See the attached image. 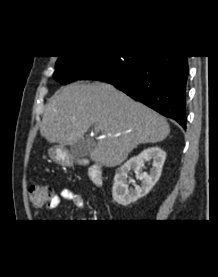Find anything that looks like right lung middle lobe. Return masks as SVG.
<instances>
[{"mask_svg":"<svg viewBox=\"0 0 218 277\" xmlns=\"http://www.w3.org/2000/svg\"><path fill=\"white\" fill-rule=\"evenodd\" d=\"M147 58L138 56H60L53 77L61 84L85 79L86 76H101L106 81H124Z\"/></svg>","mask_w":218,"mask_h":277,"instance_id":"obj_1","label":"right lung middle lobe"}]
</instances>
